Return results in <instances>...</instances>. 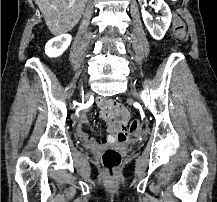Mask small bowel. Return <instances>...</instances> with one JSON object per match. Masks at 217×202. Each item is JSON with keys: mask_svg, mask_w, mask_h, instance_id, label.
I'll use <instances>...</instances> for the list:
<instances>
[{"mask_svg": "<svg viewBox=\"0 0 217 202\" xmlns=\"http://www.w3.org/2000/svg\"><path fill=\"white\" fill-rule=\"evenodd\" d=\"M96 106L97 109H100V117L104 118L105 121H109V135L101 140L89 138L83 129V123L81 121L78 122L75 128L76 135L86 147L93 150H97L100 147V143L124 144L129 137L127 130V125L130 120L129 112L123 107V104H119V101H96ZM117 113L121 114L117 116Z\"/></svg>", "mask_w": 217, "mask_h": 202, "instance_id": "c3829d8e", "label": "small bowel"}]
</instances>
